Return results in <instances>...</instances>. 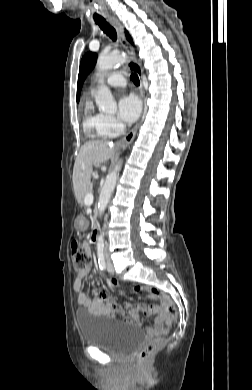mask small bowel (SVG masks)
<instances>
[{"mask_svg":"<svg viewBox=\"0 0 252 390\" xmlns=\"http://www.w3.org/2000/svg\"><path fill=\"white\" fill-rule=\"evenodd\" d=\"M83 247L86 251L90 252L91 248L88 242H83ZM88 274L89 270L87 269L77 273L73 281V289L79 293V305L95 315L112 317L114 316V313L117 312L122 316L123 322L136 326H140L142 322L140 312H143L146 316L154 315L153 325L147 329L148 335L156 336L168 331L171 320L162 305L147 306L146 304H139L134 307L130 304H126L125 307L128 309L129 314L125 315L123 309L115 303L109 294L100 290H95L93 291L94 296L91 297L90 294L82 291ZM112 283L117 284L116 280H112Z\"/></svg>","mask_w":252,"mask_h":390,"instance_id":"1","label":"small bowel"}]
</instances>
